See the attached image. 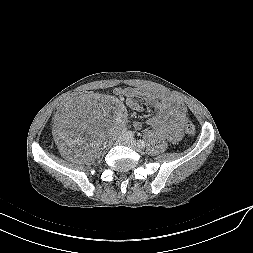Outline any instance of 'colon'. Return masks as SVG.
Returning <instances> with one entry per match:
<instances>
[{"label": "colon", "mask_w": 253, "mask_h": 253, "mask_svg": "<svg viewBox=\"0 0 253 253\" xmlns=\"http://www.w3.org/2000/svg\"><path fill=\"white\" fill-rule=\"evenodd\" d=\"M93 90L92 89H85V90H78L75 92H71L69 95L66 96L65 100L62 103L57 104L58 111L68 110L70 104L78 98L85 97V96H92ZM184 130L187 135H194L195 134V126L191 122H186L184 125Z\"/></svg>", "instance_id": "5ec220e1"}]
</instances>
